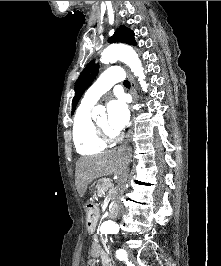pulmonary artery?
<instances>
[{
    "label": "pulmonary artery",
    "mask_w": 221,
    "mask_h": 266,
    "mask_svg": "<svg viewBox=\"0 0 221 266\" xmlns=\"http://www.w3.org/2000/svg\"><path fill=\"white\" fill-rule=\"evenodd\" d=\"M124 73L119 66H110L97 79V81L85 93L82 104L92 106L107 92L115 83L121 82Z\"/></svg>",
    "instance_id": "e3ab8cb5"
}]
</instances>
